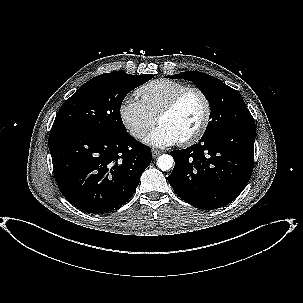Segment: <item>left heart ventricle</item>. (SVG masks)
Here are the masks:
<instances>
[{"label":"left heart ventricle","instance_id":"b2bd125f","mask_svg":"<svg viewBox=\"0 0 303 303\" xmlns=\"http://www.w3.org/2000/svg\"><path fill=\"white\" fill-rule=\"evenodd\" d=\"M203 114L204 104L201 97L197 93H190L159 124L173 132L180 141L197 130Z\"/></svg>","mask_w":303,"mask_h":303}]
</instances>
